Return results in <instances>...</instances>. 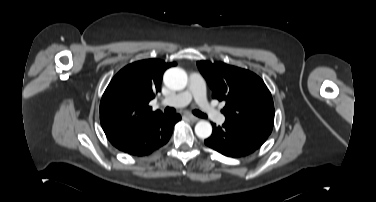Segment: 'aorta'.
I'll list each match as a JSON object with an SVG mask.
<instances>
[{
	"instance_id": "aorta-1",
	"label": "aorta",
	"mask_w": 376,
	"mask_h": 202,
	"mask_svg": "<svg viewBox=\"0 0 376 202\" xmlns=\"http://www.w3.org/2000/svg\"><path fill=\"white\" fill-rule=\"evenodd\" d=\"M188 82L186 72L178 67L168 69L164 74V83L173 90H183ZM195 133L201 138H208L212 133V126L208 121H199L195 125Z\"/></svg>"
}]
</instances>
